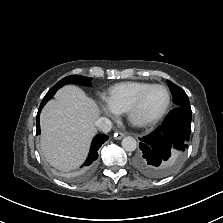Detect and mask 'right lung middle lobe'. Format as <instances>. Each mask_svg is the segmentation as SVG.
I'll return each mask as SVG.
<instances>
[{"mask_svg":"<svg viewBox=\"0 0 223 223\" xmlns=\"http://www.w3.org/2000/svg\"><path fill=\"white\" fill-rule=\"evenodd\" d=\"M92 78L85 77V76H79V75H70L65 78H63L61 81L56 83L45 95L42 101H48L50 100L53 95L56 93V91L61 88L63 85L68 83H75L79 85L89 86Z\"/></svg>","mask_w":223,"mask_h":223,"instance_id":"1","label":"right lung middle lobe"}]
</instances>
